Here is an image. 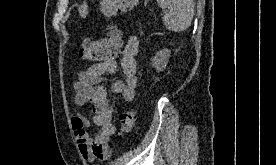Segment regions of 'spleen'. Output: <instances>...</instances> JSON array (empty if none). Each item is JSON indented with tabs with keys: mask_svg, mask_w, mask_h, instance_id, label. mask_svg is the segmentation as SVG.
<instances>
[{
	"mask_svg": "<svg viewBox=\"0 0 276 165\" xmlns=\"http://www.w3.org/2000/svg\"><path fill=\"white\" fill-rule=\"evenodd\" d=\"M159 7L169 10L163 16L165 27L174 32L185 31L192 22L194 15L193 0H156Z\"/></svg>",
	"mask_w": 276,
	"mask_h": 165,
	"instance_id": "1",
	"label": "spleen"
}]
</instances>
